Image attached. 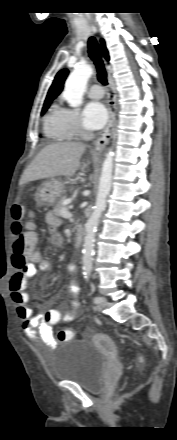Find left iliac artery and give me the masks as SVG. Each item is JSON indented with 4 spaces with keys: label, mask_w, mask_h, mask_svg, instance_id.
I'll return each instance as SVG.
<instances>
[{
    "label": "left iliac artery",
    "mask_w": 177,
    "mask_h": 440,
    "mask_svg": "<svg viewBox=\"0 0 177 440\" xmlns=\"http://www.w3.org/2000/svg\"><path fill=\"white\" fill-rule=\"evenodd\" d=\"M86 279L88 280V277L86 276ZM102 301V298L101 297H95L94 299H93V302L95 303V304H98V303H100Z\"/></svg>",
    "instance_id": "1"
}]
</instances>
